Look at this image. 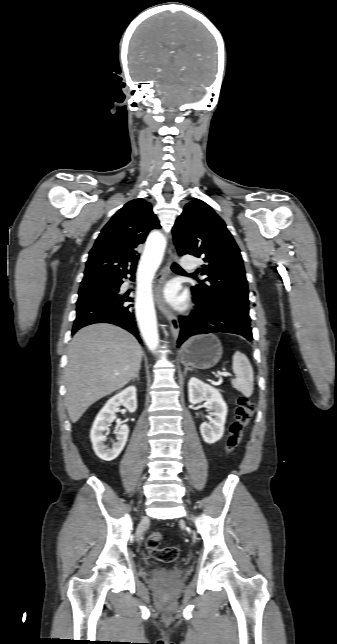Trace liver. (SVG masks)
I'll list each match as a JSON object with an SVG mask.
<instances>
[{"label": "liver", "mask_w": 337, "mask_h": 644, "mask_svg": "<svg viewBox=\"0 0 337 644\" xmlns=\"http://www.w3.org/2000/svg\"><path fill=\"white\" fill-rule=\"evenodd\" d=\"M143 351L126 330L94 324L79 330L68 348L65 403L72 423L102 397L124 387L140 370Z\"/></svg>", "instance_id": "liver-1"}]
</instances>
